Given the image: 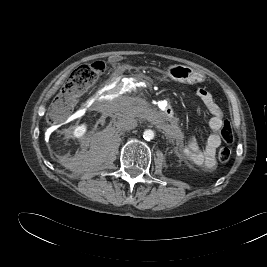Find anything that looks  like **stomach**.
<instances>
[{
    "mask_svg": "<svg viewBox=\"0 0 267 267\" xmlns=\"http://www.w3.org/2000/svg\"><path fill=\"white\" fill-rule=\"evenodd\" d=\"M166 74L172 80L180 83L193 84L204 81V76L201 73L185 65H171Z\"/></svg>",
    "mask_w": 267,
    "mask_h": 267,
    "instance_id": "0dacf381",
    "label": "stomach"
}]
</instances>
